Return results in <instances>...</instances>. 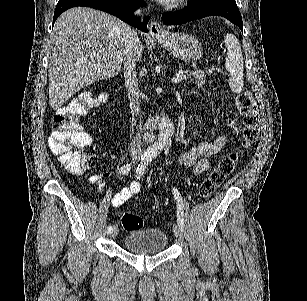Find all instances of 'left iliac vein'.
<instances>
[{
	"label": "left iliac vein",
	"mask_w": 307,
	"mask_h": 301,
	"mask_svg": "<svg viewBox=\"0 0 307 301\" xmlns=\"http://www.w3.org/2000/svg\"><path fill=\"white\" fill-rule=\"evenodd\" d=\"M173 231L175 234V237L180 241L183 242V233H182V229L179 226V224H174L173 226Z\"/></svg>",
	"instance_id": "obj_1"
}]
</instances>
